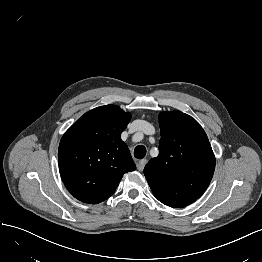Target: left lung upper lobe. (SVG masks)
Instances as JSON below:
<instances>
[{
	"instance_id": "left-lung-upper-lobe-1",
	"label": "left lung upper lobe",
	"mask_w": 262,
	"mask_h": 262,
	"mask_svg": "<svg viewBox=\"0 0 262 262\" xmlns=\"http://www.w3.org/2000/svg\"><path fill=\"white\" fill-rule=\"evenodd\" d=\"M159 155L144 168L154 196L170 207H185L207 189L215 157L199 123L180 111L159 115Z\"/></svg>"
}]
</instances>
